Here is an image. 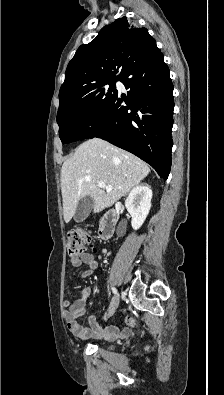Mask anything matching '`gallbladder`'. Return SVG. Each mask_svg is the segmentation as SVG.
<instances>
[{"mask_svg":"<svg viewBox=\"0 0 224 395\" xmlns=\"http://www.w3.org/2000/svg\"><path fill=\"white\" fill-rule=\"evenodd\" d=\"M93 208L94 200L90 196L83 197L77 204L74 221L77 223L83 222Z\"/></svg>","mask_w":224,"mask_h":395,"instance_id":"bac80fb5","label":"gallbladder"}]
</instances>
